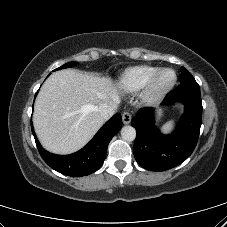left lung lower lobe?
I'll use <instances>...</instances> for the list:
<instances>
[{
	"instance_id": "obj_1",
	"label": "left lung lower lobe",
	"mask_w": 227,
	"mask_h": 227,
	"mask_svg": "<svg viewBox=\"0 0 227 227\" xmlns=\"http://www.w3.org/2000/svg\"><path fill=\"white\" fill-rule=\"evenodd\" d=\"M182 102L185 111L175 131L163 135L154 124V109L144 108L132 118L137 131L134 156L139 165L150 171H165L185 161L196 147L202 120L200 87L189 79L170 92L164 104Z\"/></svg>"
}]
</instances>
